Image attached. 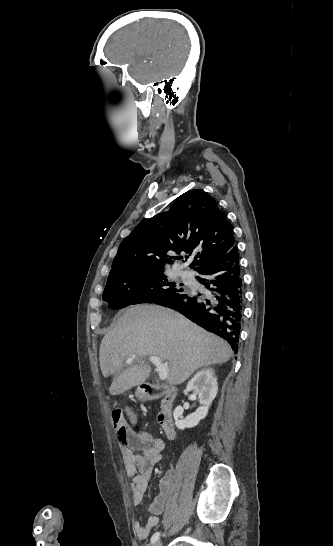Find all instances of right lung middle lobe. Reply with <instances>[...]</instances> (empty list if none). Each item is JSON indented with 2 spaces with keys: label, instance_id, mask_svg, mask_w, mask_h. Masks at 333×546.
<instances>
[{
  "label": "right lung middle lobe",
  "instance_id": "dd1d6c3e",
  "mask_svg": "<svg viewBox=\"0 0 333 546\" xmlns=\"http://www.w3.org/2000/svg\"><path fill=\"white\" fill-rule=\"evenodd\" d=\"M168 280L161 270H111L103 292V300L112 309L138 303H155L183 289Z\"/></svg>",
  "mask_w": 333,
  "mask_h": 546
}]
</instances>
